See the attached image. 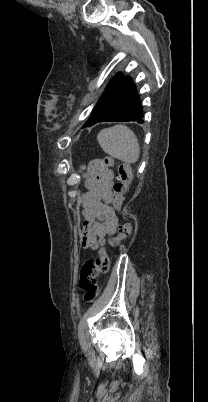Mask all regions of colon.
I'll return each instance as SVG.
<instances>
[{"instance_id": "colon-1", "label": "colon", "mask_w": 208, "mask_h": 402, "mask_svg": "<svg viewBox=\"0 0 208 402\" xmlns=\"http://www.w3.org/2000/svg\"><path fill=\"white\" fill-rule=\"evenodd\" d=\"M105 162L116 172L117 181L113 186V206L117 210L123 208L126 200L127 190L132 182V171L130 164L127 162L117 163L114 158L108 156ZM133 233V222L127 220L119 226L117 234L110 238L109 244L116 246L120 242L130 238ZM110 259L106 250L102 247L99 251V257L96 260H85L79 270V285L84 292V300L91 303L99 293V285L97 277L106 275L109 272Z\"/></svg>"}]
</instances>
